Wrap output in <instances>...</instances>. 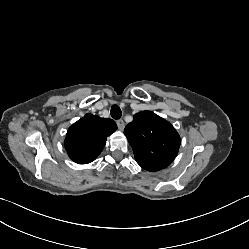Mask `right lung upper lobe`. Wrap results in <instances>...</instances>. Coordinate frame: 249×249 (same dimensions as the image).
Masks as SVG:
<instances>
[{
	"label": "right lung upper lobe",
	"instance_id": "cb5924a9",
	"mask_svg": "<svg viewBox=\"0 0 249 249\" xmlns=\"http://www.w3.org/2000/svg\"><path fill=\"white\" fill-rule=\"evenodd\" d=\"M117 129L111 119L86 114L67 131L64 145L69 157L78 164H87L103 150L106 139Z\"/></svg>",
	"mask_w": 249,
	"mask_h": 249
}]
</instances>
